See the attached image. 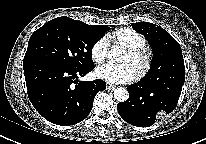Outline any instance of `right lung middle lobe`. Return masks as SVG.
<instances>
[{
  "mask_svg": "<svg viewBox=\"0 0 206 144\" xmlns=\"http://www.w3.org/2000/svg\"><path fill=\"white\" fill-rule=\"evenodd\" d=\"M68 17L55 18L29 39L24 61L45 60L72 69L93 66L92 48L108 31Z\"/></svg>",
  "mask_w": 206,
  "mask_h": 144,
  "instance_id": "1",
  "label": "right lung middle lobe"
}]
</instances>
